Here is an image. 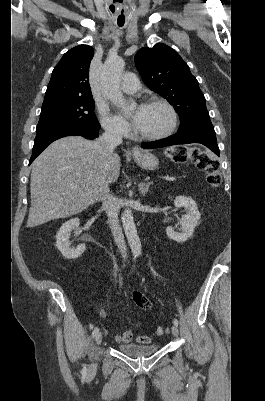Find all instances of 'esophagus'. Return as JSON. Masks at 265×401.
<instances>
[{
	"instance_id": "esophagus-1",
	"label": "esophagus",
	"mask_w": 265,
	"mask_h": 401,
	"mask_svg": "<svg viewBox=\"0 0 265 401\" xmlns=\"http://www.w3.org/2000/svg\"><path fill=\"white\" fill-rule=\"evenodd\" d=\"M136 151V148H133V152H135Z\"/></svg>"
}]
</instances>
